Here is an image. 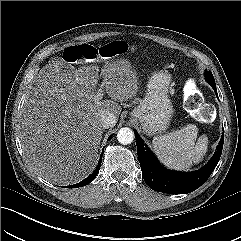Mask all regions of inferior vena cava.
I'll return each mask as SVG.
<instances>
[{
  "instance_id": "602c4592",
  "label": "inferior vena cava",
  "mask_w": 241,
  "mask_h": 241,
  "mask_svg": "<svg viewBox=\"0 0 241 241\" xmlns=\"http://www.w3.org/2000/svg\"><path fill=\"white\" fill-rule=\"evenodd\" d=\"M117 122L116 116L110 112L101 115V126L104 129L113 127Z\"/></svg>"
}]
</instances>
